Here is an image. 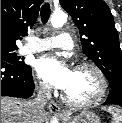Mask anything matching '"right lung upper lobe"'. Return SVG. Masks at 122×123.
Listing matches in <instances>:
<instances>
[{"label": "right lung upper lobe", "instance_id": "cb5924a9", "mask_svg": "<svg viewBox=\"0 0 122 123\" xmlns=\"http://www.w3.org/2000/svg\"><path fill=\"white\" fill-rule=\"evenodd\" d=\"M43 0H1V49H18L16 40L26 36L37 20Z\"/></svg>", "mask_w": 122, "mask_h": 123}]
</instances>
